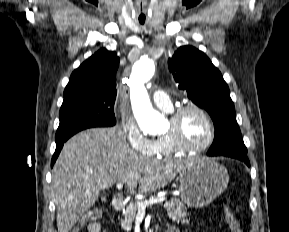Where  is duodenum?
<instances>
[{"label":"duodenum","instance_id":"obj_1","mask_svg":"<svg viewBox=\"0 0 289 232\" xmlns=\"http://www.w3.org/2000/svg\"><path fill=\"white\" fill-rule=\"evenodd\" d=\"M126 205L125 197L118 193L113 198V207L116 211H121Z\"/></svg>","mask_w":289,"mask_h":232}]
</instances>
